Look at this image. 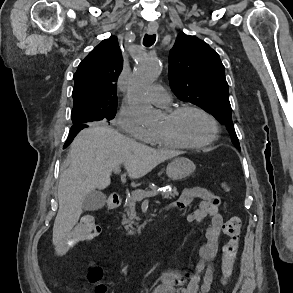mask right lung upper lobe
I'll list each match as a JSON object with an SVG mask.
<instances>
[{
    "label": "right lung upper lobe",
    "mask_w": 293,
    "mask_h": 293,
    "mask_svg": "<svg viewBox=\"0 0 293 293\" xmlns=\"http://www.w3.org/2000/svg\"><path fill=\"white\" fill-rule=\"evenodd\" d=\"M121 70V50L117 38L111 36L97 45L79 64L73 77V107L116 109V81Z\"/></svg>",
    "instance_id": "1"
}]
</instances>
